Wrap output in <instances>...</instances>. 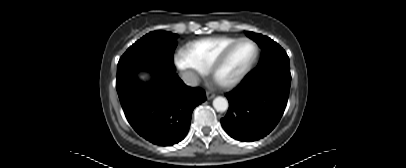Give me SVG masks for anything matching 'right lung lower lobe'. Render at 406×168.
<instances>
[{
	"instance_id": "right-lung-lower-lobe-1",
	"label": "right lung lower lobe",
	"mask_w": 406,
	"mask_h": 168,
	"mask_svg": "<svg viewBox=\"0 0 406 168\" xmlns=\"http://www.w3.org/2000/svg\"><path fill=\"white\" fill-rule=\"evenodd\" d=\"M125 116L143 138L171 146L189 131L193 109L206 100L204 90L186 86L171 69L154 73L149 84L134 76L116 83Z\"/></svg>"
}]
</instances>
